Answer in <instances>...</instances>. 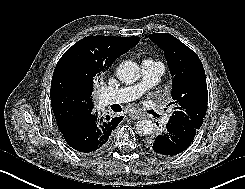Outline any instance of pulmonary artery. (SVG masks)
Returning a JSON list of instances; mask_svg holds the SVG:
<instances>
[{
    "instance_id": "1",
    "label": "pulmonary artery",
    "mask_w": 245,
    "mask_h": 189,
    "mask_svg": "<svg viewBox=\"0 0 245 189\" xmlns=\"http://www.w3.org/2000/svg\"><path fill=\"white\" fill-rule=\"evenodd\" d=\"M142 80L132 86L103 92L102 102L105 106L112 103H126L140 98L147 90L155 86L164 73V65L160 61L146 59L141 63ZM168 117L165 118V121Z\"/></svg>"
}]
</instances>
